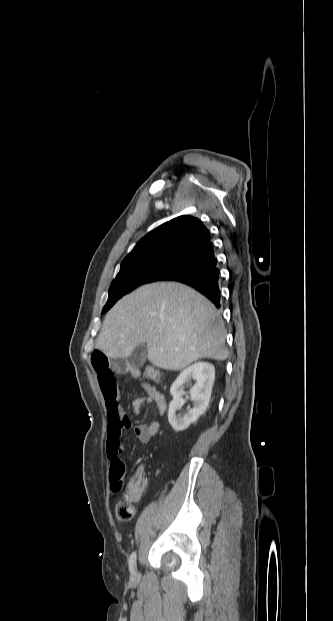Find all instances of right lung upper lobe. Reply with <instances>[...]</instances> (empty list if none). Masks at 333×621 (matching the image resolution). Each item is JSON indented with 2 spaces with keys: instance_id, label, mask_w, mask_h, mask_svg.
<instances>
[{
  "instance_id": "obj_1",
  "label": "right lung upper lobe",
  "mask_w": 333,
  "mask_h": 621,
  "mask_svg": "<svg viewBox=\"0 0 333 621\" xmlns=\"http://www.w3.org/2000/svg\"><path fill=\"white\" fill-rule=\"evenodd\" d=\"M211 242L209 230L198 218L176 217L144 236L122 263L155 258H187Z\"/></svg>"
}]
</instances>
